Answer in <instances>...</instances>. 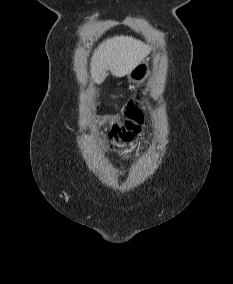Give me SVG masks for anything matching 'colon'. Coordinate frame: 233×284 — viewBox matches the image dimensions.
I'll list each match as a JSON object with an SVG mask.
<instances>
[{"mask_svg": "<svg viewBox=\"0 0 233 284\" xmlns=\"http://www.w3.org/2000/svg\"><path fill=\"white\" fill-rule=\"evenodd\" d=\"M143 123V113L135 102L128 103L124 121L117 123L111 130V135L127 142L138 134Z\"/></svg>", "mask_w": 233, "mask_h": 284, "instance_id": "colon-1", "label": "colon"}]
</instances>
